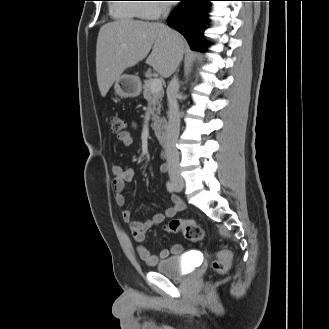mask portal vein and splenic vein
Listing matches in <instances>:
<instances>
[{
	"mask_svg": "<svg viewBox=\"0 0 329 329\" xmlns=\"http://www.w3.org/2000/svg\"><path fill=\"white\" fill-rule=\"evenodd\" d=\"M162 89V81L159 78H154L151 81V91L158 92Z\"/></svg>",
	"mask_w": 329,
	"mask_h": 329,
	"instance_id": "portal-vein-and-splenic-vein-1",
	"label": "portal vein and splenic vein"
}]
</instances>
